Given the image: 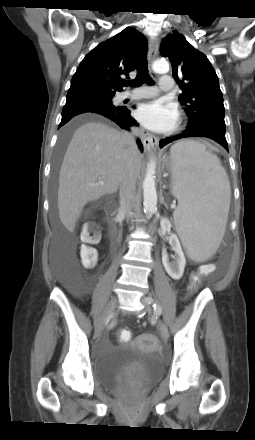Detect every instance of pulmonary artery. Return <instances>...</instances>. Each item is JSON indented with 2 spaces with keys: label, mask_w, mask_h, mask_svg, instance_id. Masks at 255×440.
Segmentation results:
<instances>
[{
  "label": "pulmonary artery",
  "mask_w": 255,
  "mask_h": 440,
  "mask_svg": "<svg viewBox=\"0 0 255 440\" xmlns=\"http://www.w3.org/2000/svg\"><path fill=\"white\" fill-rule=\"evenodd\" d=\"M174 86L173 78L170 75H163L160 78L159 89L153 86L142 87L134 90L133 92H125L122 94V99H141L150 98L157 95L158 91L168 92L171 91Z\"/></svg>",
  "instance_id": "obj_1"
}]
</instances>
